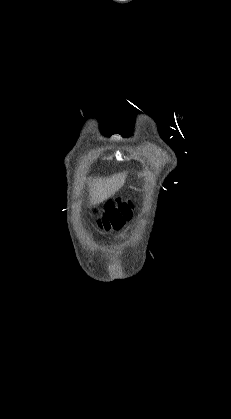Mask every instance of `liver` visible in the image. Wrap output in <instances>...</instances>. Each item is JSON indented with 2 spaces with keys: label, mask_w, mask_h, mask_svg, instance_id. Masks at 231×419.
I'll return each mask as SVG.
<instances>
[{
  "label": "liver",
  "mask_w": 231,
  "mask_h": 419,
  "mask_svg": "<svg viewBox=\"0 0 231 419\" xmlns=\"http://www.w3.org/2000/svg\"><path fill=\"white\" fill-rule=\"evenodd\" d=\"M127 174L118 173L109 178H99L93 180L90 185L91 203L97 204L105 201L115 194L125 183Z\"/></svg>",
  "instance_id": "1"
}]
</instances>
